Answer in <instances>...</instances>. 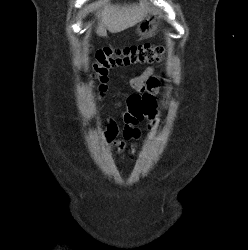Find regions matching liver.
<instances>
[{"instance_id": "liver-1", "label": "liver", "mask_w": 248, "mask_h": 250, "mask_svg": "<svg viewBox=\"0 0 248 250\" xmlns=\"http://www.w3.org/2000/svg\"><path fill=\"white\" fill-rule=\"evenodd\" d=\"M149 6L146 2L140 5H111L106 6L99 15L101 17L97 34L106 36L107 30L111 33L121 32L139 23L147 14Z\"/></svg>"}]
</instances>
